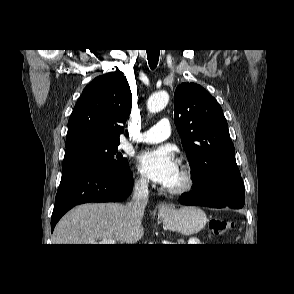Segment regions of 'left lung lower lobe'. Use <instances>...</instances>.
Here are the masks:
<instances>
[{
    "instance_id": "left-lung-lower-lobe-1",
    "label": "left lung lower lobe",
    "mask_w": 294,
    "mask_h": 294,
    "mask_svg": "<svg viewBox=\"0 0 294 294\" xmlns=\"http://www.w3.org/2000/svg\"><path fill=\"white\" fill-rule=\"evenodd\" d=\"M179 201L184 205L240 209L245 203L244 183L241 177L217 178L207 191L199 193L193 189Z\"/></svg>"
}]
</instances>
